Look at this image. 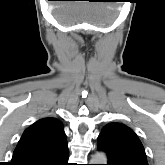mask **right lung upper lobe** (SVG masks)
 <instances>
[{
	"label": "right lung upper lobe",
	"mask_w": 165,
	"mask_h": 165,
	"mask_svg": "<svg viewBox=\"0 0 165 165\" xmlns=\"http://www.w3.org/2000/svg\"><path fill=\"white\" fill-rule=\"evenodd\" d=\"M65 140L63 124L59 120L40 119L24 131L14 150L11 165H33Z\"/></svg>",
	"instance_id": "right-lung-upper-lobe-1"
}]
</instances>
